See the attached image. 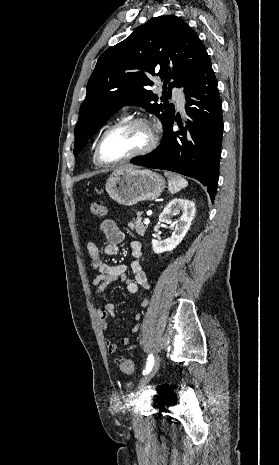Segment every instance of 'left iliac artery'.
<instances>
[{
	"instance_id": "left-iliac-artery-1",
	"label": "left iliac artery",
	"mask_w": 279,
	"mask_h": 465,
	"mask_svg": "<svg viewBox=\"0 0 279 465\" xmlns=\"http://www.w3.org/2000/svg\"><path fill=\"white\" fill-rule=\"evenodd\" d=\"M153 363H154V357H153V355L151 354V355H149V357H148V361H147L146 368H145V370L143 371V374H144V375L147 374V373H149V371L151 370V368H152V366H153Z\"/></svg>"
}]
</instances>
